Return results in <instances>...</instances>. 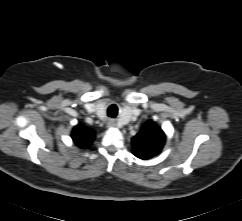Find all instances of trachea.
<instances>
[{
  "mask_svg": "<svg viewBox=\"0 0 242 221\" xmlns=\"http://www.w3.org/2000/svg\"><path fill=\"white\" fill-rule=\"evenodd\" d=\"M108 116L114 118L116 116V113H113L111 110V107L108 109Z\"/></svg>",
  "mask_w": 242,
  "mask_h": 221,
  "instance_id": "1",
  "label": "trachea"
}]
</instances>
